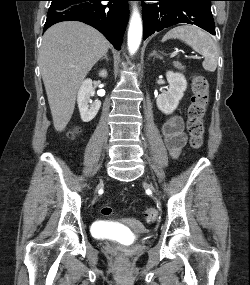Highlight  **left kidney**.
<instances>
[{"mask_svg":"<svg viewBox=\"0 0 250 285\" xmlns=\"http://www.w3.org/2000/svg\"><path fill=\"white\" fill-rule=\"evenodd\" d=\"M166 78L169 83V89L157 97L156 103L162 113L169 115L174 112L179 101L184 96L187 81L184 75L172 71L166 73Z\"/></svg>","mask_w":250,"mask_h":285,"instance_id":"obj_1","label":"left kidney"}]
</instances>
